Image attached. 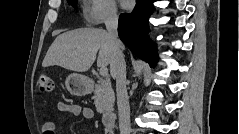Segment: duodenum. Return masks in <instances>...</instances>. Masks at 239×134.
I'll return each instance as SVG.
<instances>
[{"mask_svg":"<svg viewBox=\"0 0 239 134\" xmlns=\"http://www.w3.org/2000/svg\"><path fill=\"white\" fill-rule=\"evenodd\" d=\"M116 113L113 111L106 112L103 116V125L107 130H112L115 126Z\"/></svg>","mask_w":239,"mask_h":134,"instance_id":"410a0bca","label":"duodenum"}]
</instances>
